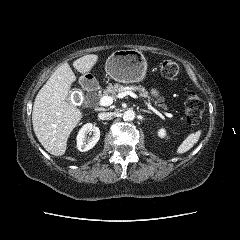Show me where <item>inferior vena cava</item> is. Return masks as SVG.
I'll return each instance as SVG.
<instances>
[{"mask_svg": "<svg viewBox=\"0 0 240 240\" xmlns=\"http://www.w3.org/2000/svg\"><path fill=\"white\" fill-rule=\"evenodd\" d=\"M98 116L102 120H109L114 116V113H112V112H102V113H99Z\"/></svg>", "mask_w": 240, "mask_h": 240, "instance_id": "602c4592", "label": "inferior vena cava"}]
</instances>
